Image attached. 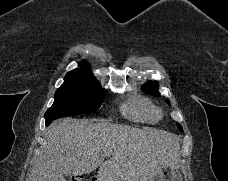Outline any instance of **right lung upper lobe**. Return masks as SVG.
I'll use <instances>...</instances> for the list:
<instances>
[{
	"label": "right lung upper lobe",
	"mask_w": 228,
	"mask_h": 181,
	"mask_svg": "<svg viewBox=\"0 0 228 181\" xmlns=\"http://www.w3.org/2000/svg\"><path fill=\"white\" fill-rule=\"evenodd\" d=\"M81 66V69L72 70L66 75L63 85H83L98 82L86 62H83Z\"/></svg>",
	"instance_id": "cb5924a9"
}]
</instances>
